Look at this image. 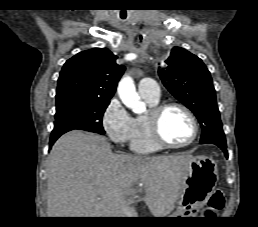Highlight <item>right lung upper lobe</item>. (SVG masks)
Instances as JSON below:
<instances>
[{"label": "right lung upper lobe", "instance_id": "cb5924a9", "mask_svg": "<svg viewBox=\"0 0 258 227\" xmlns=\"http://www.w3.org/2000/svg\"><path fill=\"white\" fill-rule=\"evenodd\" d=\"M106 48L83 51L64 64L57 85L56 98L78 96L91 100L109 101L125 67Z\"/></svg>", "mask_w": 258, "mask_h": 227}]
</instances>
